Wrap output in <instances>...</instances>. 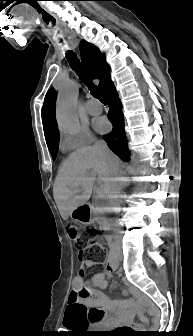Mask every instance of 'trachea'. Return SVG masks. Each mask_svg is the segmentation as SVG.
Segmentation results:
<instances>
[{
	"label": "trachea",
	"instance_id": "trachea-1",
	"mask_svg": "<svg viewBox=\"0 0 193 336\" xmlns=\"http://www.w3.org/2000/svg\"><path fill=\"white\" fill-rule=\"evenodd\" d=\"M66 58L71 68L77 73L79 78L89 86V89L93 97H95L96 99L100 100L103 103H106L107 102L106 98L103 96L101 90L92 83L89 73L80 63L76 53H74L73 51H68L66 53Z\"/></svg>",
	"mask_w": 193,
	"mask_h": 336
}]
</instances>
